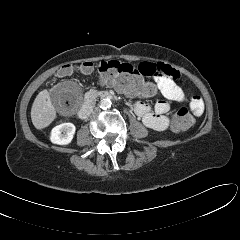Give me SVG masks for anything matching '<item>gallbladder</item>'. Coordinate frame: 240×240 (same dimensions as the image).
Returning <instances> with one entry per match:
<instances>
[{
	"label": "gallbladder",
	"mask_w": 240,
	"mask_h": 240,
	"mask_svg": "<svg viewBox=\"0 0 240 240\" xmlns=\"http://www.w3.org/2000/svg\"><path fill=\"white\" fill-rule=\"evenodd\" d=\"M68 86V83H63L60 87H59V89H64L65 87H67Z\"/></svg>",
	"instance_id": "bac80fb5"
}]
</instances>
